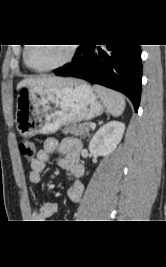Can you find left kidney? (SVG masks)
Instances as JSON below:
<instances>
[{"label": "left kidney", "mask_w": 166, "mask_h": 267, "mask_svg": "<svg viewBox=\"0 0 166 267\" xmlns=\"http://www.w3.org/2000/svg\"><path fill=\"white\" fill-rule=\"evenodd\" d=\"M125 131L122 122L111 121L102 126L89 143V150L93 154L108 156L120 143Z\"/></svg>", "instance_id": "5707ae66"}]
</instances>
